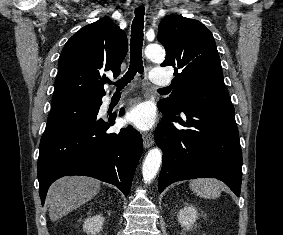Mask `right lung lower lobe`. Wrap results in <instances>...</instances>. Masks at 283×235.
Returning a JSON list of instances; mask_svg holds the SVG:
<instances>
[{"label": "right lung lower lobe", "instance_id": "1", "mask_svg": "<svg viewBox=\"0 0 283 235\" xmlns=\"http://www.w3.org/2000/svg\"><path fill=\"white\" fill-rule=\"evenodd\" d=\"M99 103L87 117L44 132L40 141L37 175L42 205L49 186L66 175H85L111 183L128 195L143 149L142 137L132 126L107 133L115 124L99 118ZM122 108L120 113L123 114Z\"/></svg>", "mask_w": 283, "mask_h": 235}]
</instances>
